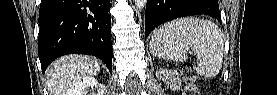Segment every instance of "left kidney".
<instances>
[{
    "instance_id": "obj_1",
    "label": "left kidney",
    "mask_w": 277,
    "mask_h": 95,
    "mask_svg": "<svg viewBox=\"0 0 277 95\" xmlns=\"http://www.w3.org/2000/svg\"><path fill=\"white\" fill-rule=\"evenodd\" d=\"M156 75H158L160 79L169 84L172 88L179 84V80L176 78L177 73L171 70L160 68L157 70Z\"/></svg>"
}]
</instances>
